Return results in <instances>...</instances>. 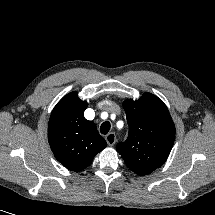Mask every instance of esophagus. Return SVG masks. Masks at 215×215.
Returning a JSON list of instances; mask_svg holds the SVG:
<instances>
[{"label": "esophagus", "instance_id": "obj_1", "mask_svg": "<svg viewBox=\"0 0 215 215\" xmlns=\"http://www.w3.org/2000/svg\"><path fill=\"white\" fill-rule=\"evenodd\" d=\"M105 139L109 146H113L116 142V135L114 133H109L106 135Z\"/></svg>", "mask_w": 215, "mask_h": 215}]
</instances>
